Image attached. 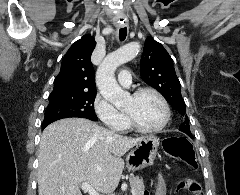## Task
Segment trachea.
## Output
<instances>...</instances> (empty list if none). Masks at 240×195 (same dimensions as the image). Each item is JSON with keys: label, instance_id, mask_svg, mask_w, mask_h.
I'll return each instance as SVG.
<instances>
[{"label": "trachea", "instance_id": "trachea-1", "mask_svg": "<svg viewBox=\"0 0 240 195\" xmlns=\"http://www.w3.org/2000/svg\"><path fill=\"white\" fill-rule=\"evenodd\" d=\"M126 35H127V28L126 27L120 28V30H119V39H120V41L125 40Z\"/></svg>", "mask_w": 240, "mask_h": 195}]
</instances>
